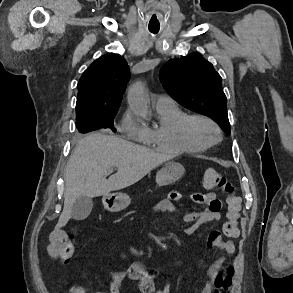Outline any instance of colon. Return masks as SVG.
I'll list each match as a JSON object with an SVG mask.
<instances>
[{
	"instance_id": "obj_1",
	"label": "colon",
	"mask_w": 293,
	"mask_h": 293,
	"mask_svg": "<svg viewBox=\"0 0 293 293\" xmlns=\"http://www.w3.org/2000/svg\"><path fill=\"white\" fill-rule=\"evenodd\" d=\"M202 185L206 189H218L226 195L227 201V221L222 227V233L226 237H237L239 230L237 219L241 208V199L235 193L233 185L218 171L207 169L202 174ZM76 231L65 232L57 230L53 232L51 241L47 246V253L52 259H59L63 263L72 260L75 252L74 238ZM234 268L226 265L216 276L213 293H227L231 284Z\"/></svg>"
}]
</instances>
